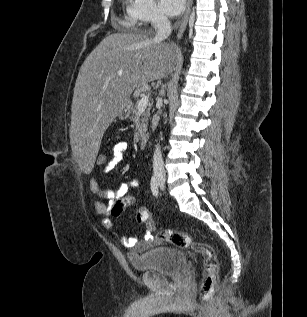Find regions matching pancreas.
<instances>
[{
  "label": "pancreas",
  "instance_id": "1",
  "mask_svg": "<svg viewBox=\"0 0 307 317\" xmlns=\"http://www.w3.org/2000/svg\"><path fill=\"white\" fill-rule=\"evenodd\" d=\"M140 92L137 91V94ZM139 113L138 111V102L134 105V107L131 109V116L130 120L136 123V129H135V134H134V141L139 142V140H142L143 142L145 141V133L147 131V125H148V120L150 117V110L145 109L142 113V117L137 120V114Z\"/></svg>",
  "mask_w": 307,
  "mask_h": 317
}]
</instances>
